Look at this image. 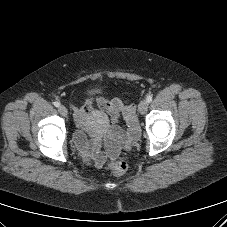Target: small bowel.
Wrapping results in <instances>:
<instances>
[{
	"instance_id": "obj_1",
	"label": "small bowel",
	"mask_w": 227,
	"mask_h": 227,
	"mask_svg": "<svg viewBox=\"0 0 227 227\" xmlns=\"http://www.w3.org/2000/svg\"><path fill=\"white\" fill-rule=\"evenodd\" d=\"M92 103L100 110L93 112ZM120 118L124 120L126 129L116 124ZM76 121L81 128L86 124L91 126L89 136L79 132L75 144L83 159L93 163L97 168L103 166L107 157L111 159L117 157L120 144L128 147L139 136L135 107L132 104H125L119 98L107 100L96 97L76 113ZM104 141L106 150H103Z\"/></svg>"
}]
</instances>
